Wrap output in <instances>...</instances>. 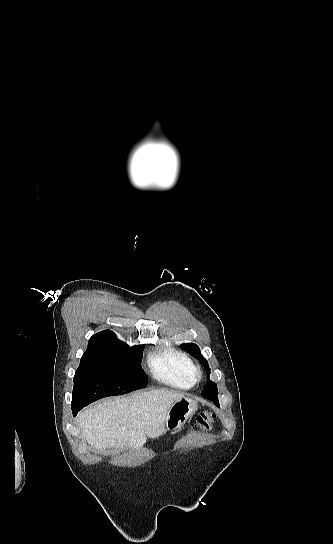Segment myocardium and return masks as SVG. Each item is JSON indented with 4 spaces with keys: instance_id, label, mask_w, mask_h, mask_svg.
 <instances>
[{
    "instance_id": "obj_1",
    "label": "myocardium",
    "mask_w": 333,
    "mask_h": 544,
    "mask_svg": "<svg viewBox=\"0 0 333 544\" xmlns=\"http://www.w3.org/2000/svg\"><path fill=\"white\" fill-rule=\"evenodd\" d=\"M193 377L194 380L200 379L202 377V371L200 368H194Z\"/></svg>"
}]
</instances>
